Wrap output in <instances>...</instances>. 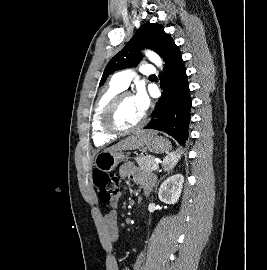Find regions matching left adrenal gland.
I'll list each match as a JSON object with an SVG mask.
<instances>
[{"label":"left adrenal gland","mask_w":267,"mask_h":270,"mask_svg":"<svg viewBox=\"0 0 267 270\" xmlns=\"http://www.w3.org/2000/svg\"><path fill=\"white\" fill-rule=\"evenodd\" d=\"M165 176L161 177L160 180L158 181L157 185L159 184V182L164 178ZM156 185V187H157Z\"/></svg>","instance_id":"a2214340"}]
</instances>
